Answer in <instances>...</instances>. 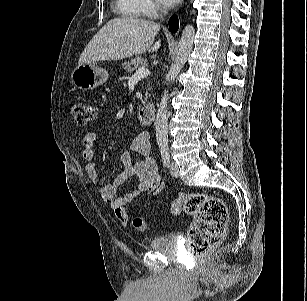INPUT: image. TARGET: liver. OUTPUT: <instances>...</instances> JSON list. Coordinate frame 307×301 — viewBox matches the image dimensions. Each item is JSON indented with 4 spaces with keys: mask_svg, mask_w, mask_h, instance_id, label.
<instances>
[{
    "mask_svg": "<svg viewBox=\"0 0 307 301\" xmlns=\"http://www.w3.org/2000/svg\"><path fill=\"white\" fill-rule=\"evenodd\" d=\"M159 30L158 23L133 16L111 19L91 39L78 63L117 61L147 51L154 52L161 46L160 40L153 45Z\"/></svg>",
    "mask_w": 307,
    "mask_h": 301,
    "instance_id": "1",
    "label": "liver"
}]
</instances>
